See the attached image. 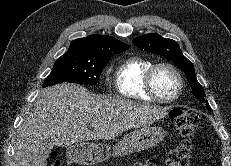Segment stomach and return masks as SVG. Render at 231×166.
<instances>
[{
	"label": "stomach",
	"instance_id": "1",
	"mask_svg": "<svg viewBox=\"0 0 231 166\" xmlns=\"http://www.w3.org/2000/svg\"><path fill=\"white\" fill-rule=\"evenodd\" d=\"M165 136V131L160 127H143L125 135L113 148L105 143L88 141L70 145L67 158L82 165H97L112 156H125L149 149Z\"/></svg>",
	"mask_w": 231,
	"mask_h": 166
}]
</instances>
